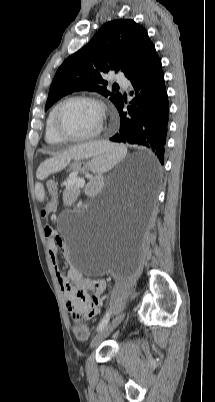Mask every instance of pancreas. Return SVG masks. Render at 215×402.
<instances>
[{
	"mask_svg": "<svg viewBox=\"0 0 215 402\" xmlns=\"http://www.w3.org/2000/svg\"><path fill=\"white\" fill-rule=\"evenodd\" d=\"M71 192H77L79 194V186L77 185H67L66 187V193L69 194Z\"/></svg>",
	"mask_w": 215,
	"mask_h": 402,
	"instance_id": "1",
	"label": "pancreas"
}]
</instances>
